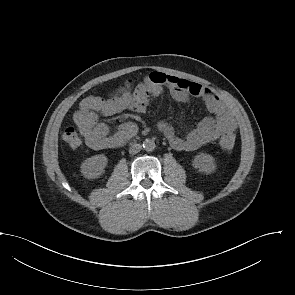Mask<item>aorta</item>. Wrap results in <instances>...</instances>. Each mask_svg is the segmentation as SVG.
Returning a JSON list of instances; mask_svg holds the SVG:
<instances>
[{"mask_svg":"<svg viewBox=\"0 0 295 295\" xmlns=\"http://www.w3.org/2000/svg\"><path fill=\"white\" fill-rule=\"evenodd\" d=\"M143 148L150 152V151H153L154 148H155V143L153 140H150V139H146L144 142H143Z\"/></svg>","mask_w":295,"mask_h":295,"instance_id":"aorta-1","label":"aorta"}]
</instances>
